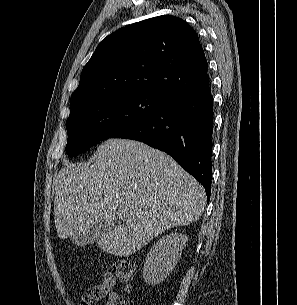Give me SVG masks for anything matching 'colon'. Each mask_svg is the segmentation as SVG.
Segmentation results:
<instances>
[{
	"label": "colon",
	"mask_w": 297,
	"mask_h": 305,
	"mask_svg": "<svg viewBox=\"0 0 297 305\" xmlns=\"http://www.w3.org/2000/svg\"><path fill=\"white\" fill-rule=\"evenodd\" d=\"M134 272L135 266L131 260L121 259L114 263V273L116 277L123 282L131 281Z\"/></svg>",
	"instance_id": "colon-1"
}]
</instances>
